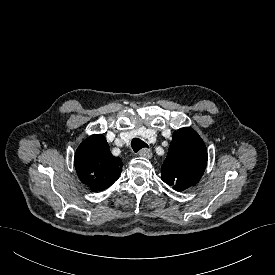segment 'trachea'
<instances>
[{"instance_id":"obj_1","label":"trachea","mask_w":275,"mask_h":275,"mask_svg":"<svg viewBox=\"0 0 275 275\" xmlns=\"http://www.w3.org/2000/svg\"><path fill=\"white\" fill-rule=\"evenodd\" d=\"M131 146L135 153H137L142 148H146V147L148 148V145L139 138L133 139L131 142Z\"/></svg>"}]
</instances>
